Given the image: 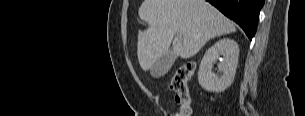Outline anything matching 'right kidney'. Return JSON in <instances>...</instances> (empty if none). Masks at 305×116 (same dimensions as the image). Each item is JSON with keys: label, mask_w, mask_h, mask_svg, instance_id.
<instances>
[{"label": "right kidney", "mask_w": 305, "mask_h": 116, "mask_svg": "<svg viewBox=\"0 0 305 116\" xmlns=\"http://www.w3.org/2000/svg\"><path fill=\"white\" fill-rule=\"evenodd\" d=\"M222 56V57H221ZM238 44L229 38L217 41L210 47L199 67L198 81L201 87L209 92H222L233 82L238 64ZM220 59L218 64L221 76L212 72L213 63Z\"/></svg>", "instance_id": "ca27d5eb"}]
</instances>
